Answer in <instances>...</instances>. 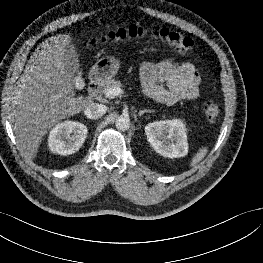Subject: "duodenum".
Segmentation results:
<instances>
[{
    "mask_svg": "<svg viewBox=\"0 0 263 263\" xmlns=\"http://www.w3.org/2000/svg\"><path fill=\"white\" fill-rule=\"evenodd\" d=\"M100 88H101V84L99 81L97 80L91 81L88 85V95L92 98L97 96V94L100 91Z\"/></svg>",
    "mask_w": 263,
    "mask_h": 263,
    "instance_id": "410a0bca",
    "label": "duodenum"
}]
</instances>
